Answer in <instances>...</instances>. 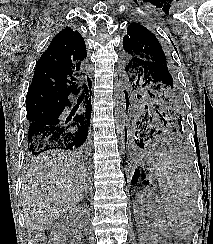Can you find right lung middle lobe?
<instances>
[{"label":"right lung middle lobe","mask_w":213,"mask_h":244,"mask_svg":"<svg viewBox=\"0 0 213 244\" xmlns=\"http://www.w3.org/2000/svg\"><path fill=\"white\" fill-rule=\"evenodd\" d=\"M61 99L63 98H59L50 94L37 95L34 97L26 98L27 119L32 121L42 112V110L47 105Z\"/></svg>","instance_id":"right-lung-middle-lobe-1"}]
</instances>
